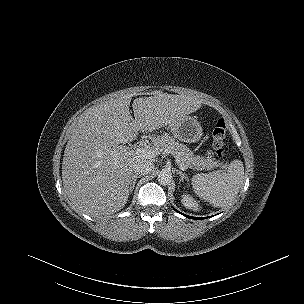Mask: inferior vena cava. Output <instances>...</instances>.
Segmentation results:
<instances>
[{
	"label": "inferior vena cava",
	"instance_id": "602c4592",
	"mask_svg": "<svg viewBox=\"0 0 304 304\" xmlns=\"http://www.w3.org/2000/svg\"><path fill=\"white\" fill-rule=\"evenodd\" d=\"M154 168L153 162L148 159H137L133 164V171L137 175H145Z\"/></svg>",
	"mask_w": 304,
	"mask_h": 304
}]
</instances>
